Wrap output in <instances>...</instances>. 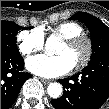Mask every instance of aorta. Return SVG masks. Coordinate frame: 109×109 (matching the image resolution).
<instances>
[{
    "label": "aorta",
    "instance_id": "762f6f07",
    "mask_svg": "<svg viewBox=\"0 0 109 109\" xmlns=\"http://www.w3.org/2000/svg\"><path fill=\"white\" fill-rule=\"evenodd\" d=\"M57 39L54 36H50L46 41V49L49 52L56 44ZM63 88L60 83L54 82L48 85L47 92L51 98H59L62 94Z\"/></svg>",
    "mask_w": 109,
    "mask_h": 109
}]
</instances>
